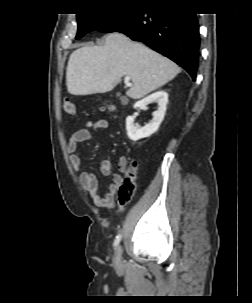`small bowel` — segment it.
Listing matches in <instances>:
<instances>
[{"mask_svg": "<svg viewBox=\"0 0 252 303\" xmlns=\"http://www.w3.org/2000/svg\"><path fill=\"white\" fill-rule=\"evenodd\" d=\"M109 127V123L105 119L87 120L81 128L75 130L68 141L67 152L69 155V161L78 175V180L81 187L89 194L92 201L100 207L112 208L115 204V196L118 188L120 187L122 177L118 173L112 172V163L110 160H102L100 162V172L103 175L111 176V183L108 187V191L105 195L99 193L98 182L95 177L82 170L81 159L77 155L78 146L81 143L86 142L91 137V132L106 130ZM125 163L123 160L119 163V170L123 171Z\"/></svg>", "mask_w": 252, "mask_h": 303, "instance_id": "1", "label": "small bowel"}]
</instances>
